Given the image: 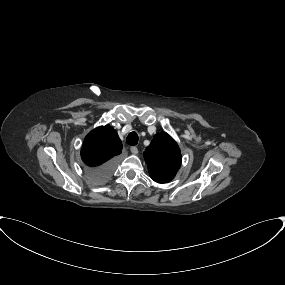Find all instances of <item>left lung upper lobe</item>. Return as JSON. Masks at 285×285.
Here are the masks:
<instances>
[{
    "mask_svg": "<svg viewBox=\"0 0 285 285\" xmlns=\"http://www.w3.org/2000/svg\"><path fill=\"white\" fill-rule=\"evenodd\" d=\"M151 178L157 183L171 181L181 165V153L177 143L166 133L153 137L144 152Z\"/></svg>",
    "mask_w": 285,
    "mask_h": 285,
    "instance_id": "left-lung-upper-lobe-1",
    "label": "left lung upper lobe"
}]
</instances>
